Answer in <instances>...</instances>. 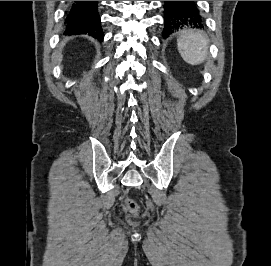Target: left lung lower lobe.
Masks as SVG:
<instances>
[{
  "instance_id": "1",
  "label": "left lung lower lobe",
  "mask_w": 271,
  "mask_h": 266,
  "mask_svg": "<svg viewBox=\"0 0 271 266\" xmlns=\"http://www.w3.org/2000/svg\"><path fill=\"white\" fill-rule=\"evenodd\" d=\"M203 26L204 19L196 1H164V37L185 27Z\"/></svg>"
}]
</instances>
